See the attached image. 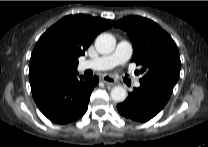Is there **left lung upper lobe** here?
<instances>
[{
    "mask_svg": "<svg viewBox=\"0 0 208 147\" xmlns=\"http://www.w3.org/2000/svg\"><path fill=\"white\" fill-rule=\"evenodd\" d=\"M115 26L125 30L132 41L131 61L141 66L140 83H153L173 91L181 67L173 39L157 23L139 16L120 19Z\"/></svg>",
    "mask_w": 208,
    "mask_h": 147,
    "instance_id": "obj_1",
    "label": "left lung upper lobe"
}]
</instances>
